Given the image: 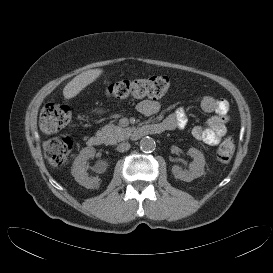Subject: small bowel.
<instances>
[{
    "mask_svg": "<svg viewBox=\"0 0 273 273\" xmlns=\"http://www.w3.org/2000/svg\"><path fill=\"white\" fill-rule=\"evenodd\" d=\"M201 108L207 113H214L205 126L194 127L193 136L210 146H217L227 133L229 103L224 98L205 96L201 101ZM138 111L147 118H155L160 107L156 101L145 99L139 102ZM162 124L167 130H183L187 125V115L183 108L166 117Z\"/></svg>",
    "mask_w": 273,
    "mask_h": 273,
    "instance_id": "c3829d8e",
    "label": "small bowel"
}]
</instances>
